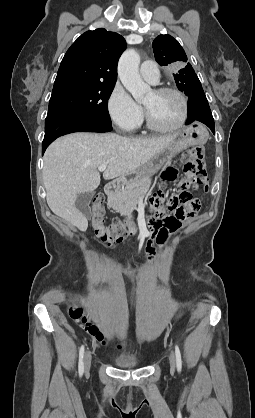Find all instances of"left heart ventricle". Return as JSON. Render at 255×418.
Wrapping results in <instances>:
<instances>
[{
  "label": "left heart ventricle",
  "mask_w": 255,
  "mask_h": 418,
  "mask_svg": "<svg viewBox=\"0 0 255 418\" xmlns=\"http://www.w3.org/2000/svg\"><path fill=\"white\" fill-rule=\"evenodd\" d=\"M152 120L161 127L175 125L182 116V102L173 93L157 94L152 91L143 101Z\"/></svg>",
  "instance_id": "b2bd125f"
}]
</instances>
